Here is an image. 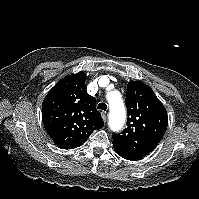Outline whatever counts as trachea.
<instances>
[{"label": "trachea", "mask_w": 199, "mask_h": 199, "mask_svg": "<svg viewBox=\"0 0 199 199\" xmlns=\"http://www.w3.org/2000/svg\"><path fill=\"white\" fill-rule=\"evenodd\" d=\"M98 109H99V110L106 111L107 105H106L105 103H99V104H98Z\"/></svg>", "instance_id": "3493384b"}]
</instances>
